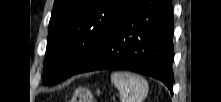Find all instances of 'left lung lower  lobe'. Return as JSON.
I'll return each instance as SVG.
<instances>
[{"label":"left lung lower lobe","instance_id":"left-lung-lower-lobe-1","mask_svg":"<svg viewBox=\"0 0 221 102\" xmlns=\"http://www.w3.org/2000/svg\"><path fill=\"white\" fill-rule=\"evenodd\" d=\"M174 20L170 0H130L111 30L75 74L125 69L173 91Z\"/></svg>","mask_w":221,"mask_h":102}]
</instances>
